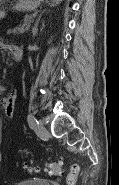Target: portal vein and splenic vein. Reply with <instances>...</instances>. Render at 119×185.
<instances>
[{"mask_svg": "<svg viewBox=\"0 0 119 185\" xmlns=\"http://www.w3.org/2000/svg\"><path fill=\"white\" fill-rule=\"evenodd\" d=\"M36 16V13L35 14H33V17H35Z\"/></svg>", "mask_w": 119, "mask_h": 185, "instance_id": "1", "label": "portal vein and splenic vein"}]
</instances>
